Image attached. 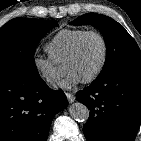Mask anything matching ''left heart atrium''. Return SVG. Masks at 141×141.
Wrapping results in <instances>:
<instances>
[{"label":"left heart atrium","mask_w":141,"mask_h":141,"mask_svg":"<svg viewBox=\"0 0 141 141\" xmlns=\"http://www.w3.org/2000/svg\"><path fill=\"white\" fill-rule=\"evenodd\" d=\"M82 82L81 77L75 72H68L64 80L61 82V87L65 89H70Z\"/></svg>","instance_id":"left-heart-atrium-1"}]
</instances>
